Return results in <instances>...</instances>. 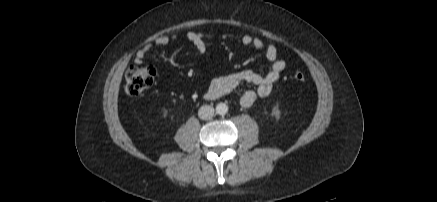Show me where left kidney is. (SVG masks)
<instances>
[{"label": "left kidney", "mask_w": 437, "mask_h": 202, "mask_svg": "<svg viewBox=\"0 0 437 202\" xmlns=\"http://www.w3.org/2000/svg\"><path fill=\"white\" fill-rule=\"evenodd\" d=\"M273 114L278 115V114H279V111H278L276 108H274V109H273Z\"/></svg>", "instance_id": "5707ae66"}]
</instances>
